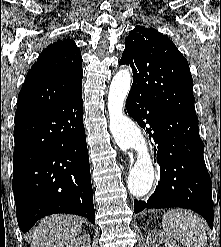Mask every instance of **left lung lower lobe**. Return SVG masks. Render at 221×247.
<instances>
[{
	"label": "left lung lower lobe",
	"mask_w": 221,
	"mask_h": 247,
	"mask_svg": "<svg viewBox=\"0 0 221 247\" xmlns=\"http://www.w3.org/2000/svg\"><path fill=\"white\" fill-rule=\"evenodd\" d=\"M125 113L153 139L160 166L158 186L147 202L134 200V212L187 208L201 214L213 228L212 183L203 157L198 119L179 115L130 92Z\"/></svg>",
	"instance_id": "1"
}]
</instances>
